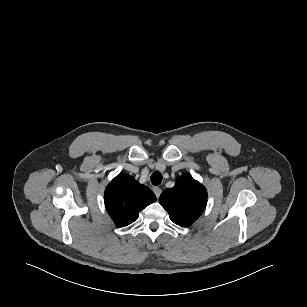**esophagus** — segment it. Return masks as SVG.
I'll return each mask as SVG.
<instances>
[{
	"mask_svg": "<svg viewBox=\"0 0 307 307\" xmlns=\"http://www.w3.org/2000/svg\"><path fill=\"white\" fill-rule=\"evenodd\" d=\"M153 192L155 193L156 197L159 198L162 193V189L159 187H154Z\"/></svg>",
	"mask_w": 307,
	"mask_h": 307,
	"instance_id": "obj_1",
	"label": "esophagus"
}]
</instances>
